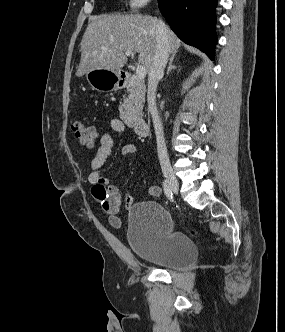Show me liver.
Masks as SVG:
<instances>
[{"mask_svg": "<svg viewBox=\"0 0 285 332\" xmlns=\"http://www.w3.org/2000/svg\"><path fill=\"white\" fill-rule=\"evenodd\" d=\"M158 20L148 15H101L91 19L81 40V60L76 72L82 77L93 69L120 70L128 60L126 51L138 52V62L149 73L156 52ZM168 29L169 52L181 41Z\"/></svg>", "mask_w": 285, "mask_h": 332, "instance_id": "liver-1", "label": "liver"}]
</instances>
